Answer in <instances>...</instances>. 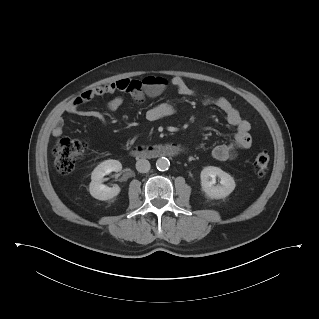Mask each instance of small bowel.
Masks as SVG:
<instances>
[{
  "label": "small bowel",
  "instance_id": "obj_1",
  "mask_svg": "<svg viewBox=\"0 0 319 319\" xmlns=\"http://www.w3.org/2000/svg\"><path fill=\"white\" fill-rule=\"evenodd\" d=\"M128 81V79H123L86 90L67 104L65 112L71 115L92 117L102 123H106V116L102 112L83 110L82 106L91 101L95 96L110 94L116 91L125 92V86ZM170 85L183 96L199 97L198 93L191 86H189L182 77H173L171 79ZM144 97L145 95L142 93L132 96L135 101H141ZM199 98L203 103L211 105L220 110L224 114L227 123L235 128L234 140L232 142L217 145L212 149V156L214 159L218 161L232 160L241 150L251 147V124L241 117L239 111L227 98H215L209 96H203ZM124 102L125 97L123 95L115 96L108 102L107 109L110 112H116L123 106ZM173 112L174 107L171 103L161 102L148 108L145 113V117L148 121L154 122L172 115ZM63 132V124L61 121H58V123L52 129V134L55 137H60L62 136Z\"/></svg>",
  "mask_w": 319,
  "mask_h": 319
}]
</instances>
